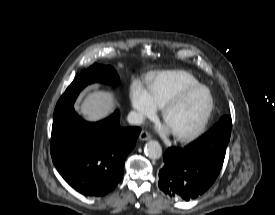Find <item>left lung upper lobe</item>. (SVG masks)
I'll return each instance as SVG.
<instances>
[{
  "label": "left lung upper lobe",
  "mask_w": 275,
  "mask_h": 215,
  "mask_svg": "<svg viewBox=\"0 0 275 215\" xmlns=\"http://www.w3.org/2000/svg\"><path fill=\"white\" fill-rule=\"evenodd\" d=\"M231 134V116H223L211 130L191 144L192 150L223 164Z\"/></svg>",
  "instance_id": "obj_1"
}]
</instances>
